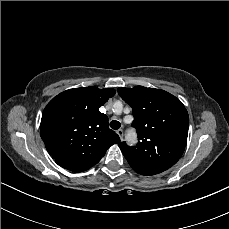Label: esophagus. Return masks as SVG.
Listing matches in <instances>:
<instances>
[{"instance_id": "esophagus-1", "label": "esophagus", "mask_w": 229, "mask_h": 229, "mask_svg": "<svg viewBox=\"0 0 229 229\" xmlns=\"http://www.w3.org/2000/svg\"><path fill=\"white\" fill-rule=\"evenodd\" d=\"M116 133L119 135L120 139L122 140L123 139V130L122 129H118L116 131Z\"/></svg>"}]
</instances>
